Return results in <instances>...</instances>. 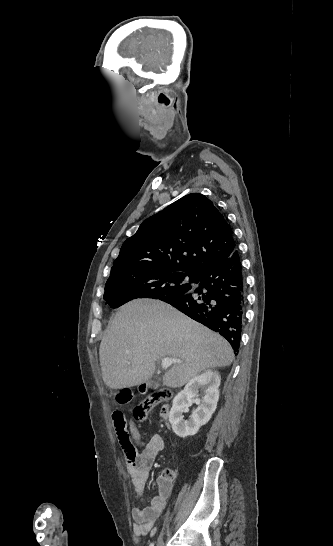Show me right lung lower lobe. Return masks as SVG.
Here are the masks:
<instances>
[{"label":"right lung lower lobe","mask_w":333,"mask_h":546,"mask_svg":"<svg viewBox=\"0 0 333 546\" xmlns=\"http://www.w3.org/2000/svg\"><path fill=\"white\" fill-rule=\"evenodd\" d=\"M199 288L167 295V302L190 318L221 334L238 354L245 311V281L238 251L196 275Z\"/></svg>","instance_id":"right-lung-lower-lobe-1"}]
</instances>
